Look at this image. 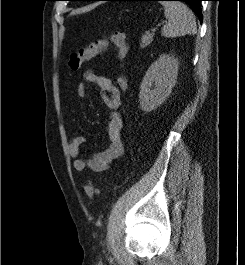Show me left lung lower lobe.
<instances>
[{
  "mask_svg": "<svg viewBox=\"0 0 245 265\" xmlns=\"http://www.w3.org/2000/svg\"><path fill=\"white\" fill-rule=\"evenodd\" d=\"M82 1H100V0H82ZM107 1H126V0H107ZM154 1H163V0H154ZM184 1L191 6L193 11L198 15L200 21L202 22V13H201V1L203 0H178Z\"/></svg>",
  "mask_w": 245,
  "mask_h": 265,
  "instance_id": "0a47b994",
  "label": "left lung lower lobe"
}]
</instances>
